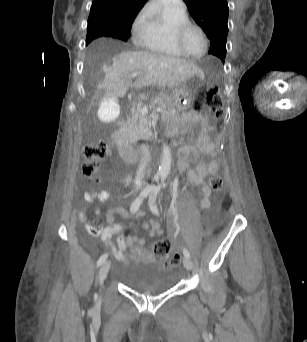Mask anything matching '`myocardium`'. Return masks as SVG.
I'll return each mask as SVG.
<instances>
[{
	"label": "myocardium",
	"mask_w": 307,
	"mask_h": 342,
	"mask_svg": "<svg viewBox=\"0 0 307 342\" xmlns=\"http://www.w3.org/2000/svg\"><path fill=\"white\" fill-rule=\"evenodd\" d=\"M194 26L198 27L201 30V32L203 34V38H204V44H205L204 52L199 57H194V56L190 55L189 52L186 50V47H185V36H186L188 30ZM175 43H176L177 48L181 51V53L186 58H188L189 60H192V61L202 60L207 55V53L209 51V37H208V32H207L204 24L198 20L191 19V18L181 22L177 26L176 31H175Z\"/></svg>",
	"instance_id": "1"
}]
</instances>
